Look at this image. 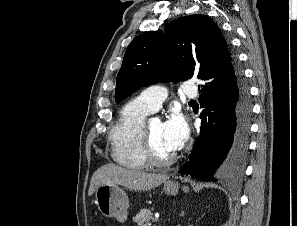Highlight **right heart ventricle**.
I'll use <instances>...</instances> for the list:
<instances>
[{
	"label": "right heart ventricle",
	"mask_w": 297,
	"mask_h": 226,
	"mask_svg": "<svg viewBox=\"0 0 297 226\" xmlns=\"http://www.w3.org/2000/svg\"><path fill=\"white\" fill-rule=\"evenodd\" d=\"M151 111L138 98L127 102L110 131L111 155L121 166L144 169L147 159L143 153L140 129Z\"/></svg>",
	"instance_id": "e07e8e85"
}]
</instances>
